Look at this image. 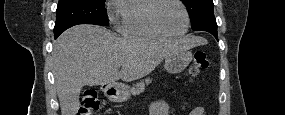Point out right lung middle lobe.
Here are the masks:
<instances>
[{"label": "right lung middle lobe", "mask_w": 285, "mask_h": 115, "mask_svg": "<svg viewBox=\"0 0 285 115\" xmlns=\"http://www.w3.org/2000/svg\"><path fill=\"white\" fill-rule=\"evenodd\" d=\"M104 5L105 0H59L54 33L84 23L107 26L109 22Z\"/></svg>", "instance_id": "obj_1"}]
</instances>
